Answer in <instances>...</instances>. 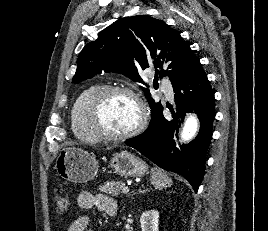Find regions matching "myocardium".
Returning a JSON list of instances; mask_svg holds the SVG:
<instances>
[{
	"label": "myocardium",
	"instance_id": "1",
	"mask_svg": "<svg viewBox=\"0 0 268 231\" xmlns=\"http://www.w3.org/2000/svg\"><path fill=\"white\" fill-rule=\"evenodd\" d=\"M125 95L133 99L138 106L140 117L138 123L130 130L123 133H112L100 127V108L103 102L110 95ZM86 120L94 135L98 139H105L109 141H123L134 137L141 133L147 124V109L141 97L130 88L119 85H108L101 87L90 98L87 111Z\"/></svg>",
	"mask_w": 268,
	"mask_h": 231
}]
</instances>
